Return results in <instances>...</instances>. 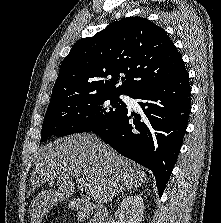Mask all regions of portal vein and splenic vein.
<instances>
[{"instance_id":"portal-vein-and-splenic-vein-1","label":"portal vein and splenic vein","mask_w":221,"mask_h":223,"mask_svg":"<svg viewBox=\"0 0 221 223\" xmlns=\"http://www.w3.org/2000/svg\"><path fill=\"white\" fill-rule=\"evenodd\" d=\"M78 185L80 186L81 191H85L88 195H93L94 190L91 188V186H88L87 184L82 183L81 181H78Z\"/></svg>"}]
</instances>
